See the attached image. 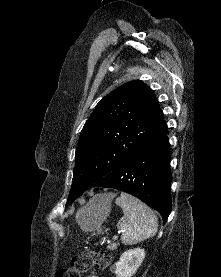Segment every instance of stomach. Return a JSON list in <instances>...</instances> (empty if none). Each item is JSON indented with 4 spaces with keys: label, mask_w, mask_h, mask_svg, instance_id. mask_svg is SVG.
I'll use <instances>...</instances> for the list:
<instances>
[{
    "label": "stomach",
    "mask_w": 221,
    "mask_h": 277,
    "mask_svg": "<svg viewBox=\"0 0 221 277\" xmlns=\"http://www.w3.org/2000/svg\"><path fill=\"white\" fill-rule=\"evenodd\" d=\"M110 211V202L98 197L89 202L77 214V222L85 232L103 233V223Z\"/></svg>",
    "instance_id": "1"
}]
</instances>
